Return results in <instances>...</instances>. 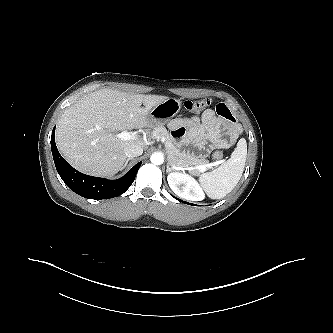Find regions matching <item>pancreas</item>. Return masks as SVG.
Instances as JSON below:
<instances>
[{
    "label": "pancreas",
    "mask_w": 333,
    "mask_h": 333,
    "mask_svg": "<svg viewBox=\"0 0 333 333\" xmlns=\"http://www.w3.org/2000/svg\"><path fill=\"white\" fill-rule=\"evenodd\" d=\"M152 138L166 140L165 147L168 153V161L173 165H203L207 161L199 159L197 156L181 150V144L177 143L169 136L167 129L164 126H156L152 132Z\"/></svg>",
    "instance_id": "pancreas-1"
}]
</instances>
